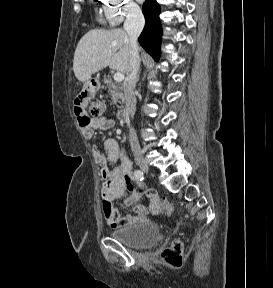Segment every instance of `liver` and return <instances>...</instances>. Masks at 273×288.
Masks as SVG:
<instances>
[{
	"instance_id": "obj_1",
	"label": "liver",
	"mask_w": 273,
	"mask_h": 288,
	"mask_svg": "<svg viewBox=\"0 0 273 288\" xmlns=\"http://www.w3.org/2000/svg\"><path fill=\"white\" fill-rule=\"evenodd\" d=\"M129 58V37L123 29H93L77 45L73 71L80 82L87 83L92 74L108 66L126 73Z\"/></svg>"
}]
</instances>
